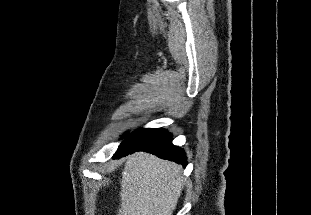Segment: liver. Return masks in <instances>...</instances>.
<instances>
[{"label": "liver", "instance_id": "liver-1", "mask_svg": "<svg viewBox=\"0 0 311 215\" xmlns=\"http://www.w3.org/2000/svg\"><path fill=\"white\" fill-rule=\"evenodd\" d=\"M182 166L138 152L126 158L118 215H172L183 188Z\"/></svg>", "mask_w": 311, "mask_h": 215}]
</instances>
